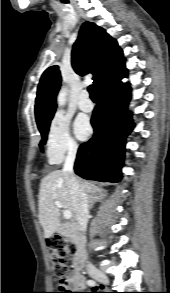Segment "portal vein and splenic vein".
<instances>
[{"label":"portal vein and splenic vein","mask_w":170,"mask_h":293,"mask_svg":"<svg viewBox=\"0 0 170 293\" xmlns=\"http://www.w3.org/2000/svg\"><path fill=\"white\" fill-rule=\"evenodd\" d=\"M55 205L58 207V208H62V204L59 202V201H55ZM63 217L65 219H70L72 217V212L69 211V210H66L63 212Z\"/></svg>","instance_id":"18ae733b"}]
</instances>
